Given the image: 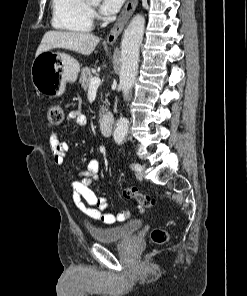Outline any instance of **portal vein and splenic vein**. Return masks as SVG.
<instances>
[{
  "mask_svg": "<svg viewBox=\"0 0 247 296\" xmlns=\"http://www.w3.org/2000/svg\"><path fill=\"white\" fill-rule=\"evenodd\" d=\"M101 84V79L98 76L93 77L90 80L89 89H97Z\"/></svg>",
  "mask_w": 247,
  "mask_h": 296,
  "instance_id": "18ae733b",
  "label": "portal vein and splenic vein"
}]
</instances>
